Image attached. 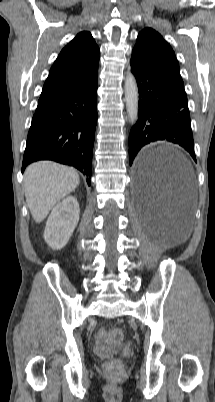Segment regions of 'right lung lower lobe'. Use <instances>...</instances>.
I'll return each instance as SVG.
<instances>
[{
	"label": "right lung lower lobe",
	"mask_w": 215,
	"mask_h": 402,
	"mask_svg": "<svg viewBox=\"0 0 215 402\" xmlns=\"http://www.w3.org/2000/svg\"><path fill=\"white\" fill-rule=\"evenodd\" d=\"M98 75L90 82L36 109L23 157L26 166L39 160L71 165L87 176L90 186L97 124Z\"/></svg>",
	"instance_id": "right-lung-lower-lobe-1"
}]
</instances>
